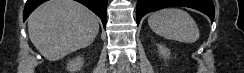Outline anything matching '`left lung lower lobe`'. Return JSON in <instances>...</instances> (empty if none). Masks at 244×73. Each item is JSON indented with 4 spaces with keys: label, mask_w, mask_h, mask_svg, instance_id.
Returning <instances> with one entry per match:
<instances>
[{
    "label": "left lung lower lobe",
    "mask_w": 244,
    "mask_h": 73,
    "mask_svg": "<svg viewBox=\"0 0 244 73\" xmlns=\"http://www.w3.org/2000/svg\"><path fill=\"white\" fill-rule=\"evenodd\" d=\"M169 6L190 7L208 15L212 22L214 20L215 9L212 0H137V25L145 14Z\"/></svg>",
    "instance_id": "obj_1"
}]
</instances>
